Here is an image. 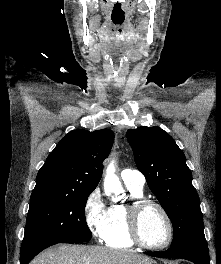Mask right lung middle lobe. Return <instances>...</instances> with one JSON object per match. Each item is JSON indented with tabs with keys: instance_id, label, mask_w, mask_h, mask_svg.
<instances>
[{
	"instance_id": "obj_1",
	"label": "right lung middle lobe",
	"mask_w": 221,
	"mask_h": 264,
	"mask_svg": "<svg viewBox=\"0 0 221 264\" xmlns=\"http://www.w3.org/2000/svg\"><path fill=\"white\" fill-rule=\"evenodd\" d=\"M91 192H32L21 254L46 244L89 241L84 216Z\"/></svg>"
}]
</instances>
